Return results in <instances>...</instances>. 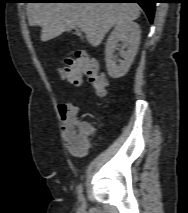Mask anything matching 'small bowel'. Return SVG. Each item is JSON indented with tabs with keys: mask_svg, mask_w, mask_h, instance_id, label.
<instances>
[{
	"mask_svg": "<svg viewBox=\"0 0 188 213\" xmlns=\"http://www.w3.org/2000/svg\"><path fill=\"white\" fill-rule=\"evenodd\" d=\"M58 112L64 125V135L69 151L76 156L83 157L89 148V137L94 131L91 122L78 118L79 109L68 104H60ZM78 137L80 145H74L73 138Z\"/></svg>",
	"mask_w": 188,
	"mask_h": 213,
	"instance_id": "obj_1",
	"label": "small bowel"
}]
</instances>
